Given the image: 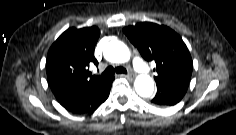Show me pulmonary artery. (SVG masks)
I'll use <instances>...</instances> for the list:
<instances>
[{
  "label": "pulmonary artery",
  "mask_w": 236,
  "mask_h": 135,
  "mask_svg": "<svg viewBox=\"0 0 236 135\" xmlns=\"http://www.w3.org/2000/svg\"><path fill=\"white\" fill-rule=\"evenodd\" d=\"M132 64L137 72L142 74L149 73V67L139 56L137 55L133 56Z\"/></svg>",
  "instance_id": "e3ab8cb5"
}]
</instances>
